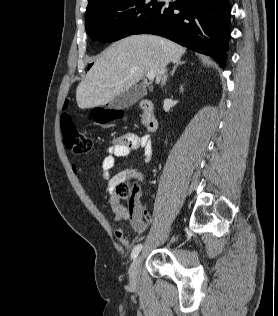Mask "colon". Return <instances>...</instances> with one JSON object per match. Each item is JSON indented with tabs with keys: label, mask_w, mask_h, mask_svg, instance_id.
Returning a JSON list of instances; mask_svg holds the SVG:
<instances>
[{
	"label": "colon",
	"mask_w": 278,
	"mask_h": 316,
	"mask_svg": "<svg viewBox=\"0 0 278 316\" xmlns=\"http://www.w3.org/2000/svg\"><path fill=\"white\" fill-rule=\"evenodd\" d=\"M123 114L119 111H97L91 115L92 121L97 124H107L111 121L119 120ZM61 130L65 146L74 153L82 154L88 153L92 149L91 139L82 131H80L75 124L74 120L67 114L61 118ZM115 198L113 203L116 211H122L118 200L127 199L130 201L133 197V191L127 184H120L115 188Z\"/></svg>",
	"instance_id": "1"
}]
</instances>
